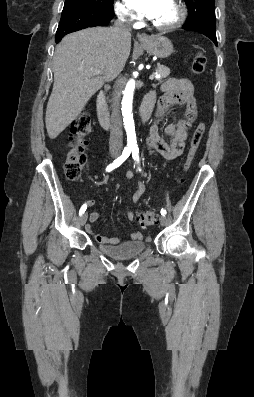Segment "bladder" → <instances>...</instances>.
<instances>
[{
  "mask_svg": "<svg viewBox=\"0 0 254 397\" xmlns=\"http://www.w3.org/2000/svg\"><path fill=\"white\" fill-rule=\"evenodd\" d=\"M99 250L115 259H128L141 254L146 245L143 241H131L125 242L119 245L109 246V245H99Z\"/></svg>",
  "mask_w": 254,
  "mask_h": 397,
  "instance_id": "31cf9c89",
  "label": "bladder"
}]
</instances>
